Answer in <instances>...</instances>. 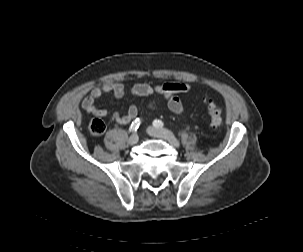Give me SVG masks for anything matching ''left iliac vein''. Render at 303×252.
Returning <instances> with one entry per match:
<instances>
[{"label": "left iliac vein", "instance_id": "1", "mask_svg": "<svg viewBox=\"0 0 303 252\" xmlns=\"http://www.w3.org/2000/svg\"><path fill=\"white\" fill-rule=\"evenodd\" d=\"M148 133H149V135H151L153 137L161 138V139L168 141L171 145H173L176 148H178L180 146V143L175 138V136L166 129L149 127Z\"/></svg>", "mask_w": 303, "mask_h": 252}]
</instances>
